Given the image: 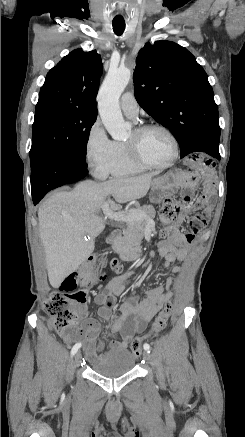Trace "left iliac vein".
<instances>
[{
	"label": "left iliac vein",
	"instance_id": "obj_1",
	"mask_svg": "<svg viewBox=\"0 0 245 437\" xmlns=\"http://www.w3.org/2000/svg\"><path fill=\"white\" fill-rule=\"evenodd\" d=\"M143 358L146 362H150L151 361V356L147 351H144L143 353Z\"/></svg>",
	"mask_w": 245,
	"mask_h": 437
}]
</instances>
